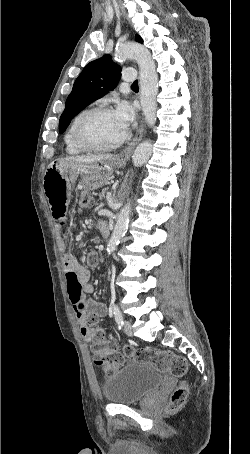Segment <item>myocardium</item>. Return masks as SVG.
<instances>
[{"mask_svg": "<svg viewBox=\"0 0 250 454\" xmlns=\"http://www.w3.org/2000/svg\"><path fill=\"white\" fill-rule=\"evenodd\" d=\"M108 111H113V109L107 105H99V106H95L93 108H90V109L84 111L79 116V118L77 119V121L74 125L73 133H72L73 142L75 143L76 146H78L80 149H82L84 151H94V152L110 151V150L118 148L126 140H128L129 133L127 131L120 139H118L115 142L108 144V145H93V144L86 142L82 138L81 130H82L84 123L94 114H97L100 112H108Z\"/></svg>", "mask_w": 250, "mask_h": 454, "instance_id": "1", "label": "myocardium"}]
</instances>
